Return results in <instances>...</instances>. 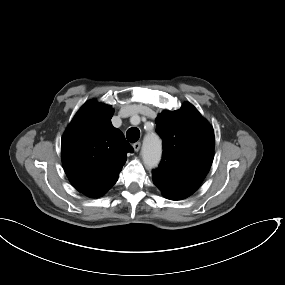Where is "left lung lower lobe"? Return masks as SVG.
<instances>
[{
	"label": "left lung lower lobe",
	"mask_w": 285,
	"mask_h": 285,
	"mask_svg": "<svg viewBox=\"0 0 285 285\" xmlns=\"http://www.w3.org/2000/svg\"><path fill=\"white\" fill-rule=\"evenodd\" d=\"M154 184L161 190L164 197L170 200H181L193 194L199 184L181 180L161 171H152Z\"/></svg>",
	"instance_id": "obj_1"
}]
</instances>
